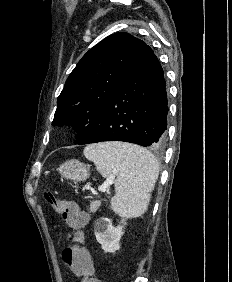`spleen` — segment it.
Instances as JSON below:
<instances>
[{
    "label": "spleen",
    "mask_w": 232,
    "mask_h": 282,
    "mask_svg": "<svg viewBox=\"0 0 232 282\" xmlns=\"http://www.w3.org/2000/svg\"><path fill=\"white\" fill-rule=\"evenodd\" d=\"M84 155L103 177L117 176L112 210L123 217H139L149 205L159 174V164L148 150L136 145L110 142L89 145Z\"/></svg>",
    "instance_id": "obj_1"
}]
</instances>
